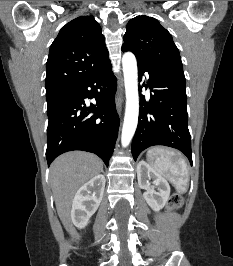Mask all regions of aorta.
I'll list each match as a JSON object with an SVG mask.
<instances>
[{"label":"aorta","mask_w":233,"mask_h":266,"mask_svg":"<svg viewBox=\"0 0 233 266\" xmlns=\"http://www.w3.org/2000/svg\"><path fill=\"white\" fill-rule=\"evenodd\" d=\"M122 64L126 92V109L121 143L123 147H126L134 136L139 115L138 71L135 55L131 52H126L123 55Z\"/></svg>","instance_id":"aorta-1"}]
</instances>
